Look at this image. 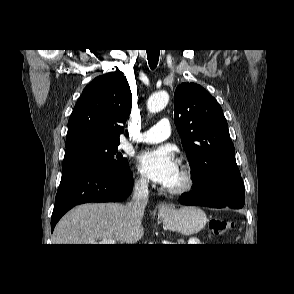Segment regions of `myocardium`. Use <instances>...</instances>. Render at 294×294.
<instances>
[{"mask_svg": "<svg viewBox=\"0 0 294 294\" xmlns=\"http://www.w3.org/2000/svg\"><path fill=\"white\" fill-rule=\"evenodd\" d=\"M179 169L182 175V183L177 187H166V193L174 196H180L188 193L194 185V175L191 167L186 163H181Z\"/></svg>", "mask_w": 294, "mask_h": 294, "instance_id": "1", "label": "myocardium"}]
</instances>
